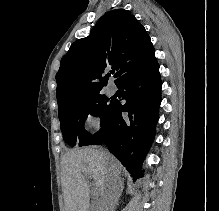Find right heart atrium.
I'll return each mask as SVG.
<instances>
[{
  "label": "right heart atrium",
  "instance_id": "right-heart-atrium-1",
  "mask_svg": "<svg viewBox=\"0 0 219 211\" xmlns=\"http://www.w3.org/2000/svg\"><path fill=\"white\" fill-rule=\"evenodd\" d=\"M101 121H102L101 117L94 111H89L85 115V125L91 130L99 129L101 125Z\"/></svg>",
  "mask_w": 219,
  "mask_h": 211
}]
</instances>
